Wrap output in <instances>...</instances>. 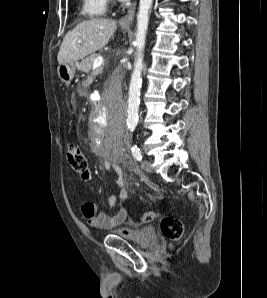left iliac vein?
<instances>
[{
    "mask_svg": "<svg viewBox=\"0 0 267 298\" xmlns=\"http://www.w3.org/2000/svg\"><path fill=\"white\" fill-rule=\"evenodd\" d=\"M142 169L146 172H151L152 171V166H151V162L148 160H143L141 163Z\"/></svg>",
    "mask_w": 267,
    "mask_h": 298,
    "instance_id": "4c4485c4",
    "label": "left iliac vein"
}]
</instances>
